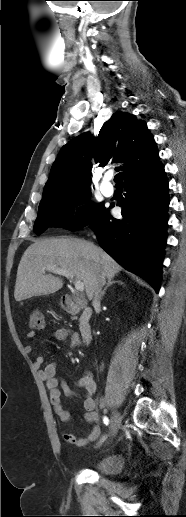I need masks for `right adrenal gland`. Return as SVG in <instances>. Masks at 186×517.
I'll return each instance as SVG.
<instances>
[{"mask_svg":"<svg viewBox=\"0 0 186 517\" xmlns=\"http://www.w3.org/2000/svg\"><path fill=\"white\" fill-rule=\"evenodd\" d=\"M115 283H118L120 285L124 284L121 280H118V281H115L113 279H109L108 280V283L106 284V286L104 287L103 291L101 292V299L103 298V296L105 295V292L107 290V288L112 285V284H115Z\"/></svg>","mask_w":186,"mask_h":517,"instance_id":"1","label":"right adrenal gland"}]
</instances>
